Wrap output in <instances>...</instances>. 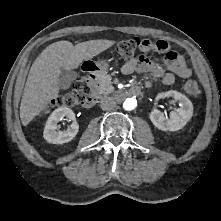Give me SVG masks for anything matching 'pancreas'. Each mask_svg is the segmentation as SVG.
Returning <instances> with one entry per match:
<instances>
[{"mask_svg":"<svg viewBox=\"0 0 221 221\" xmlns=\"http://www.w3.org/2000/svg\"><path fill=\"white\" fill-rule=\"evenodd\" d=\"M99 85L95 86V93L98 94H108L114 90L112 86L111 77L105 73L100 74L98 78Z\"/></svg>","mask_w":221,"mask_h":221,"instance_id":"obj_1","label":"pancreas"}]
</instances>
